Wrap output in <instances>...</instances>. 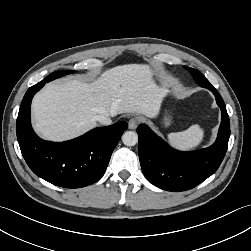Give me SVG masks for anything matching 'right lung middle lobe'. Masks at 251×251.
Returning a JSON list of instances; mask_svg holds the SVG:
<instances>
[{
	"instance_id": "1",
	"label": "right lung middle lobe",
	"mask_w": 251,
	"mask_h": 251,
	"mask_svg": "<svg viewBox=\"0 0 251 251\" xmlns=\"http://www.w3.org/2000/svg\"><path fill=\"white\" fill-rule=\"evenodd\" d=\"M75 71L73 70H62V71H56V72H53L51 73L50 75H48L45 79H43L42 81H45V82H49L51 80H54L56 78H59L61 76H64V75H67V74H71V73H74Z\"/></svg>"
}]
</instances>
